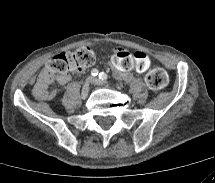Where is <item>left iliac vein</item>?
<instances>
[{
  "mask_svg": "<svg viewBox=\"0 0 215 183\" xmlns=\"http://www.w3.org/2000/svg\"><path fill=\"white\" fill-rule=\"evenodd\" d=\"M90 82L94 85H98V86H102L104 85V82L102 80H100L99 78L96 77H91L90 78Z\"/></svg>",
  "mask_w": 215,
  "mask_h": 183,
  "instance_id": "4c4485c4",
  "label": "left iliac vein"
}]
</instances>
